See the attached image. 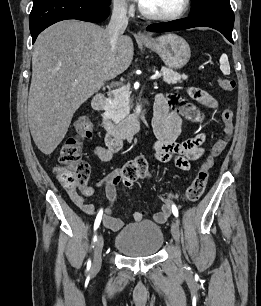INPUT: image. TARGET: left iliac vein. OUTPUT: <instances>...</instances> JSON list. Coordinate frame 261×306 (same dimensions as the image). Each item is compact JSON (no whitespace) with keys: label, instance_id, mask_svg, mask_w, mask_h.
I'll use <instances>...</instances> for the list:
<instances>
[{"label":"left iliac vein","instance_id":"4c4485c4","mask_svg":"<svg viewBox=\"0 0 261 306\" xmlns=\"http://www.w3.org/2000/svg\"><path fill=\"white\" fill-rule=\"evenodd\" d=\"M171 233L176 242L180 240V224L177 219H175L171 225Z\"/></svg>","mask_w":261,"mask_h":306}]
</instances>
